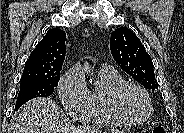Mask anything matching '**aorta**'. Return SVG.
<instances>
[{"instance_id": "obj_1", "label": "aorta", "mask_w": 184, "mask_h": 133, "mask_svg": "<svg viewBox=\"0 0 184 133\" xmlns=\"http://www.w3.org/2000/svg\"><path fill=\"white\" fill-rule=\"evenodd\" d=\"M85 69H86L87 74H89V75L93 74L92 70H90V68H89L88 63L85 64Z\"/></svg>"}]
</instances>
